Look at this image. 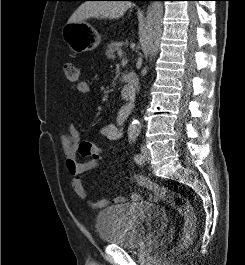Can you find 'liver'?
Instances as JSON below:
<instances>
[{
	"instance_id": "liver-1",
	"label": "liver",
	"mask_w": 245,
	"mask_h": 265,
	"mask_svg": "<svg viewBox=\"0 0 245 265\" xmlns=\"http://www.w3.org/2000/svg\"><path fill=\"white\" fill-rule=\"evenodd\" d=\"M131 6L128 1H86L71 15L68 23H80L90 18L118 19Z\"/></svg>"
}]
</instances>
